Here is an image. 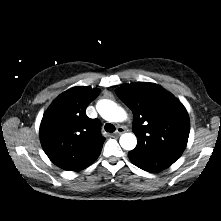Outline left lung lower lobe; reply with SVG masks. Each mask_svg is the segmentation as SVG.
Segmentation results:
<instances>
[{
    "label": "left lung lower lobe",
    "mask_w": 221,
    "mask_h": 221,
    "mask_svg": "<svg viewBox=\"0 0 221 221\" xmlns=\"http://www.w3.org/2000/svg\"><path fill=\"white\" fill-rule=\"evenodd\" d=\"M128 157L134 165L145 171L160 172L172 165L180 156L132 150Z\"/></svg>",
    "instance_id": "1"
}]
</instances>
